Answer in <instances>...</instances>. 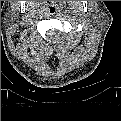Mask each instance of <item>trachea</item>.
I'll list each match as a JSON object with an SVG mask.
<instances>
[{"label":"trachea","mask_w":121,"mask_h":121,"mask_svg":"<svg viewBox=\"0 0 121 121\" xmlns=\"http://www.w3.org/2000/svg\"><path fill=\"white\" fill-rule=\"evenodd\" d=\"M59 11L57 5L55 3H51L48 7V12L51 14V15H55L57 14Z\"/></svg>","instance_id":"1"}]
</instances>
